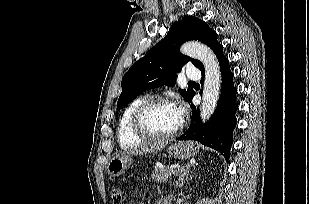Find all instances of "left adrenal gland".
<instances>
[{
  "label": "left adrenal gland",
  "instance_id": "obj_1",
  "mask_svg": "<svg viewBox=\"0 0 309 204\" xmlns=\"http://www.w3.org/2000/svg\"><path fill=\"white\" fill-rule=\"evenodd\" d=\"M196 165H198V164L196 163ZM189 171H190V165L188 167H186L182 171V173L179 175V177H178V179L175 183L176 187L181 188L186 181H189L190 179H192V176L191 175L189 176Z\"/></svg>",
  "mask_w": 309,
  "mask_h": 204
}]
</instances>
